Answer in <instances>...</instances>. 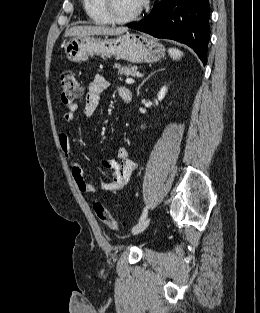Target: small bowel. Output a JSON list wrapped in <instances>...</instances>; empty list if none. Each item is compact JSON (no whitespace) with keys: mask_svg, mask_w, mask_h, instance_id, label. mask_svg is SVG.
Segmentation results:
<instances>
[{"mask_svg":"<svg viewBox=\"0 0 260 313\" xmlns=\"http://www.w3.org/2000/svg\"><path fill=\"white\" fill-rule=\"evenodd\" d=\"M107 87L108 81L102 75H96L89 83L84 107V115L86 118L94 116L100 104V96ZM118 94L124 102L131 101V92L128 88H119ZM77 109L78 107L76 105L71 106L63 115L64 121L67 123L72 122ZM59 144L70 164L72 178L79 191L83 194L95 195L100 191L115 194L128 185L131 175L137 169V165L135 161L129 157L128 151L125 148H120L118 151L119 160L105 159L103 161V166L110 169L111 174L108 179L101 181L99 186H95L86 180L82 166L75 159L71 138L67 132H61L59 134Z\"/></svg>","mask_w":260,"mask_h":313,"instance_id":"obj_1","label":"small bowel"}]
</instances>
